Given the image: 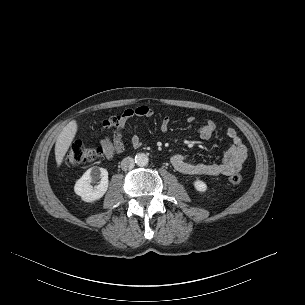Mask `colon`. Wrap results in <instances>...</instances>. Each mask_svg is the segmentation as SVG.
<instances>
[{
    "instance_id": "5ec220e1",
    "label": "colon",
    "mask_w": 305,
    "mask_h": 305,
    "mask_svg": "<svg viewBox=\"0 0 305 305\" xmlns=\"http://www.w3.org/2000/svg\"><path fill=\"white\" fill-rule=\"evenodd\" d=\"M125 119L126 115L124 114L112 117L103 123L101 130L109 133L116 132L123 127ZM101 156L102 150L100 148H89L81 143H72L64 155V163L68 166H78L97 161ZM228 181L231 185H239L242 182V176L232 174Z\"/></svg>"
}]
</instances>
